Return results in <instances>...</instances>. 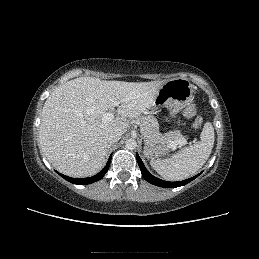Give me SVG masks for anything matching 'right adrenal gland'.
<instances>
[{
	"mask_svg": "<svg viewBox=\"0 0 259 259\" xmlns=\"http://www.w3.org/2000/svg\"><path fill=\"white\" fill-rule=\"evenodd\" d=\"M111 147V144L108 146V149Z\"/></svg>",
	"mask_w": 259,
	"mask_h": 259,
	"instance_id": "right-adrenal-gland-1",
	"label": "right adrenal gland"
}]
</instances>
